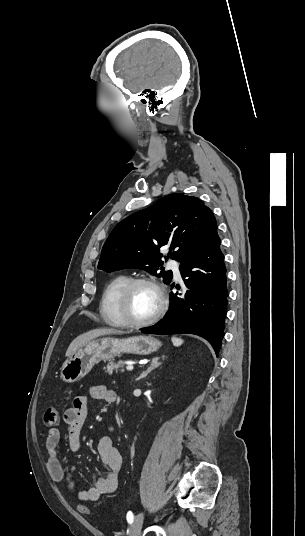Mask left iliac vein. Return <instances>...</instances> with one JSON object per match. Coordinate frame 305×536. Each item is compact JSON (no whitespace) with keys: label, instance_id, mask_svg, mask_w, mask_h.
I'll use <instances>...</instances> for the list:
<instances>
[{"label":"left iliac vein","instance_id":"left-iliac-vein-1","mask_svg":"<svg viewBox=\"0 0 305 536\" xmlns=\"http://www.w3.org/2000/svg\"><path fill=\"white\" fill-rule=\"evenodd\" d=\"M143 518V513H139L136 515L133 523L130 526L129 536H139L143 524Z\"/></svg>","mask_w":305,"mask_h":536}]
</instances>
